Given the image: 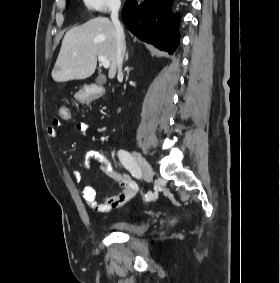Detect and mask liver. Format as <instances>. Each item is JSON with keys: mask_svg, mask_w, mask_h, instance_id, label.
Listing matches in <instances>:
<instances>
[{"mask_svg": "<svg viewBox=\"0 0 280 283\" xmlns=\"http://www.w3.org/2000/svg\"><path fill=\"white\" fill-rule=\"evenodd\" d=\"M105 56L111 63L108 77L117 71V40L113 23L106 17L91 19L67 31L52 70L56 82L86 79L97 66V56Z\"/></svg>", "mask_w": 280, "mask_h": 283, "instance_id": "6515ba94", "label": "liver"}]
</instances>
